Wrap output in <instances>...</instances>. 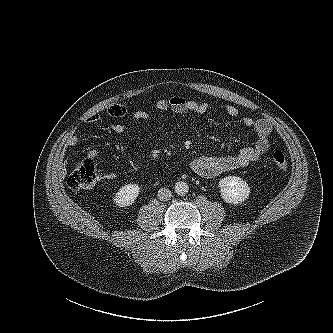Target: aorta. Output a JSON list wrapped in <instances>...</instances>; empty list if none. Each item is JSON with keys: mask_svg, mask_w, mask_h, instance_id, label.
Instances as JSON below:
<instances>
[{"mask_svg": "<svg viewBox=\"0 0 333 333\" xmlns=\"http://www.w3.org/2000/svg\"><path fill=\"white\" fill-rule=\"evenodd\" d=\"M174 188H175V192L181 196L187 194L188 190H189L187 183L183 182V181H179V182L175 183Z\"/></svg>", "mask_w": 333, "mask_h": 333, "instance_id": "obj_1", "label": "aorta"}]
</instances>
